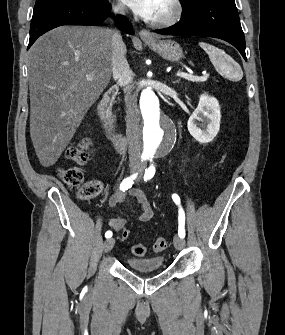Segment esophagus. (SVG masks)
<instances>
[{"label":"esophagus","mask_w":285,"mask_h":335,"mask_svg":"<svg viewBox=\"0 0 285 335\" xmlns=\"http://www.w3.org/2000/svg\"><path fill=\"white\" fill-rule=\"evenodd\" d=\"M139 36H140L142 39H150V40H152V38H153V36H152V34L150 33V31H149V30H145V29H143V30H141V31L139 32Z\"/></svg>","instance_id":"obj_1"}]
</instances>
